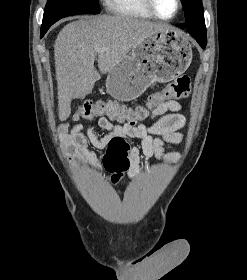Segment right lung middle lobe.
I'll return each instance as SVG.
<instances>
[{
    "instance_id": "1",
    "label": "right lung middle lobe",
    "mask_w": 247,
    "mask_h": 280,
    "mask_svg": "<svg viewBox=\"0 0 247 280\" xmlns=\"http://www.w3.org/2000/svg\"><path fill=\"white\" fill-rule=\"evenodd\" d=\"M99 14L98 0H48L42 27H50L56 21L75 14Z\"/></svg>"
}]
</instances>
